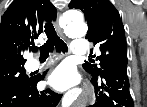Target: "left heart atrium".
Returning <instances> with one entry per match:
<instances>
[{
  "label": "left heart atrium",
  "instance_id": "obj_1",
  "mask_svg": "<svg viewBox=\"0 0 147 107\" xmlns=\"http://www.w3.org/2000/svg\"><path fill=\"white\" fill-rule=\"evenodd\" d=\"M78 80L79 76L74 67L68 64H62L51 74L49 84L59 91H64L75 85Z\"/></svg>",
  "mask_w": 147,
  "mask_h": 107
}]
</instances>
